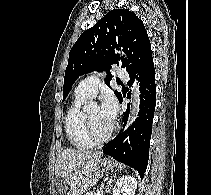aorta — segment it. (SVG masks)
Instances as JSON below:
<instances>
[{
	"instance_id": "obj_1",
	"label": "aorta",
	"mask_w": 211,
	"mask_h": 195,
	"mask_svg": "<svg viewBox=\"0 0 211 195\" xmlns=\"http://www.w3.org/2000/svg\"><path fill=\"white\" fill-rule=\"evenodd\" d=\"M139 102H140L139 92L136 89H134V92L132 94V108L129 116V124H131L138 115ZM94 105H95L94 102L89 103V106H94Z\"/></svg>"
}]
</instances>
